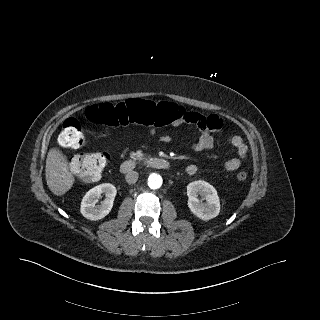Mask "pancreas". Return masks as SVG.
Instances as JSON below:
<instances>
[{
  "mask_svg": "<svg viewBox=\"0 0 320 320\" xmlns=\"http://www.w3.org/2000/svg\"><path fill=\"white\" fill-rule=\"evenodd\" d=\"M130 157L134 160H140L142 158V154L141 152L137 151V152H131L130 153Z\"/></svg>",
  "mask_w": 320,
  "mask_h": 320,
  "instance_id": "pancreas-1",
  "label": "pancreas"
}]
</instances>
